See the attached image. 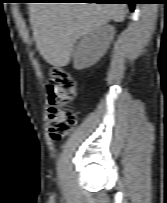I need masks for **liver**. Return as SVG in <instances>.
Wrapping results in <instances>:
<instances>
[{
  "mask_svg": "<svg viewBox=\"0 0 167 203\" xmlns=\"http://www.w3.org/2000/svg\"><path fill=\"white\" fill-rule=\"evenodd\" d=\"M29 10L37 49L54 67L68 65L77 39L127 13L119 3H30Z\"/></svg>",
  "mask_w": 167,
  "mask_h": 203,
  "instance_id": "obj_1",
  "label": "liver"
}]
</instances>
